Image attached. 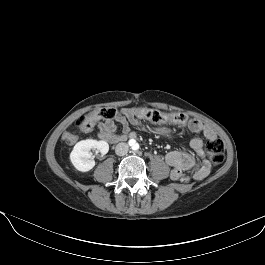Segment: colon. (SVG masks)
Returning <instances> with one entry per match:
<instances>
[{
  "mask_svg": "<svg viewBox=\"0 0 265 265\" xmlns=\"http://www.w3.org/2000/svg\"><path fill=\"white\" fill-rule=\"evenodd\" d=\"M118 111L113 107H102L90 114L80 117L74 128L73 133L68 137V140L73 142L76 139L77 133H89L93 130L95 123L101 119H113ZM134 115L141 119H146L153 124H189L188 117L183 113H164L156 109L136 108ZM205 156L214 164H220L225 158V147L222 140L215 138L209 140L205 147Z\"/></svg>",
  "mask_w": 265,
  "mask_h": 265,
  "instance_id": "1",
  "label": "colon"
}]
</instances>
